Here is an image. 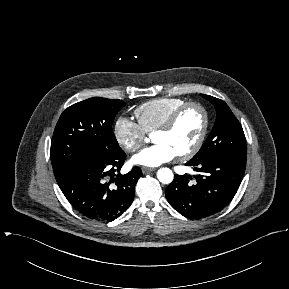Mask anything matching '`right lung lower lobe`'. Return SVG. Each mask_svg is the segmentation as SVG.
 <instances>
[{
  "instance_id": "98d812e1",
  "label": "right lung lower lobe",
  "mask_w": 289,
  "mask_h": 289,
  "mask_svg": "<svg viewBox=\"0 0 289 289\" xmlns=\"http://www.w3.org/2000/svg\"><path fill=\"white\" fill-rule=\"evenodd\" d=\"M125 158L122 151L109 160L81 163L67 171L57 183L79 213L94 220L113 221L130 207L135 184L142 176L139 167L125 175H115Z\"/></svg>"
}]
</instances>
